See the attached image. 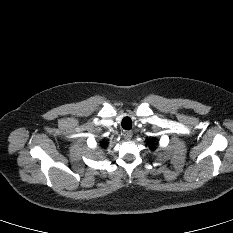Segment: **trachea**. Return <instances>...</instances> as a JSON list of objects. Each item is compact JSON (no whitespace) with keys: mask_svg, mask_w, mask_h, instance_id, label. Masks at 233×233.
Masks as SVG:
<instances>
[{"mask_svg":"<svg viewBox=\"0 0 233 233\" xmlns=\"http://www.w3.org/2000/svg\"><path fill=\"white\" fill-rule=\"evenodd\" d=\"M122 127L125 130H130L132 128V120L129 117H125L122 120Z\"/></svg>","mask_w":233,"mask_h":233,"instance_id":"3493384b","label":"trachea"}]
</instances>
